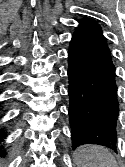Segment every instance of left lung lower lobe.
Returning <instances> with one entry per match:
<instances>
[{
  "mask_svg": "<svg viewBox=\"0 0 125 167\" xmlns=\"http://www.w3.org/2000/svg\"><path fill=\"white\" fill-rule=\"evenodd\" d=\"M72 148L100 144L115 150L119 102L115 66L100 25L83 19L68 52Z\"/></svg>",
  "mask_w": 125,
  "mask_h": 167,
  "instance_id": "0a47b994",
  "label": "left lung lower lobe"
}]
</instances>
